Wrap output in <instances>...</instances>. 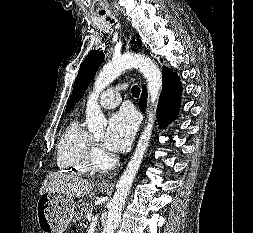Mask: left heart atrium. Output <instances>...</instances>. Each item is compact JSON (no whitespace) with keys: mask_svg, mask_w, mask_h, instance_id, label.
I'll return each instance as SVG.
<instances>
[{"mask_svg":"<svg viewBox=\"0 0 253 233\" xmlns=\"http://www.w3.org/2000/svg\"><path fill=\"white\" fill-rule=\"evenodd\" d=\"M136 128L137 118L131 110L122 109L113 114L103 138L104 147L115 153L123 151L132 141Z\"/></svg>","mask_w":253,"mask_h":233,"instance_id":"39dd6f15","label":"left heart atrium"}]
</instances>
